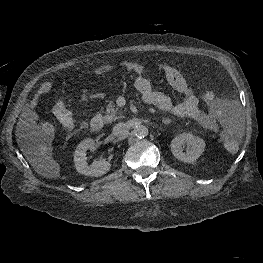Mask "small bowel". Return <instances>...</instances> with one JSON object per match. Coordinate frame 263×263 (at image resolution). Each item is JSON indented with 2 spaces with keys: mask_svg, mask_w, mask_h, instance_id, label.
<instances>
[{
  "mask_svg": "<svg viewBox=\"0 0 263 263\" xmlns=\"http://www.w3.org/2000/svg\"><path fill=\"white\" fill-rule=\"evenodd\" d=\"M111 66H103L95 71L96 75H102L109 71ZM153 70L163 73L169 84L183 96V100L174 103L167 95L154 90L151 82L144 74H139L135 79V87L142 94L145 103L153 104L163 111H168L179 117H189L197 121L201 126L209 130L217 129V121L214 113L210 110L206 112L200 107V99L195 92L188 86L185 78L177 69L166 63H156ZM52 88L50 81L44 82L38 89L31 104L26 110L27 115H32V109L36 105L38 99L43 94L49 92ZM63 106L62 100H58L55 105Z\"/></svg>",
  "mask_w": 263,
  "mask_h": 263,
  "instance_id": "1",
  "label": "small bowel"
}]
</instances>
